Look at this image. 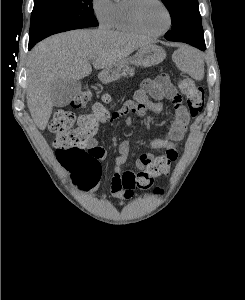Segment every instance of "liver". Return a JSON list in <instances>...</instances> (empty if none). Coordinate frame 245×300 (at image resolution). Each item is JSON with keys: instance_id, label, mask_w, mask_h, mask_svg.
Instances as JSON below:
<instances>
[{"instance_id": "liver-1", "label": "liver", "mask_w": 245, "mask_h": 300, "mask_svg": "<svg viewBox=\"0 0 245 300\" xmlns=\"http://www.w3.org/2000/svg\"><path fill=\"white\" fill-rule=\"evenodd\" d=\"M142 36L106 29L74 30L53 35L30 53L27 77V105L40 130L48 124L53 110L52 88L60 81L80 80L95 69H105L150 45Z\"/></svg>"}]
</instances>
